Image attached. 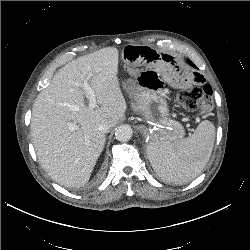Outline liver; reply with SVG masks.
I'll return each instance as SVG.
<instances>
[{
  "mask_svg": "<svg viewBox=\"0 0 250 250\" xmlns=\"http://www.w3.org/2000/svg\"><path fill=\"white\" fill-rule=\"evenodd\" d=\"M118 58V49L106 47L69 62L35 100L31 119L35 151L42 168L62 186L81 187L89 181L106 140L99 124L105 121L113 127L125 115ZM89 73L100 105L93 109L79 86Z\"/></svg>",
  "mask_w": 250,
  "mask_h": 250,
  "instance_id": "6515ba94",
  "label": "liver"
}]
</instances>
